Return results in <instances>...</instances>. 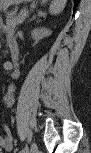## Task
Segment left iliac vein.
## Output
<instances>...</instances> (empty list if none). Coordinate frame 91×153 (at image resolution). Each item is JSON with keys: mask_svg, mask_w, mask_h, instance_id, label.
Instances as JSON below:
<instances>
[{"mask_svg": "<svg viewBox=\"0 0 91 153\" xmlns=\"http://www.w3.org/2000/svg\"><path fill=\"white\" fill-rule=\"evenodd\" d=\"M29 153H37V144L35 142L31 143V147H30Z\"/></svg>", "mask_w": 91, "mask_h": 153, "instance_id": "4c4485c4", "label": "left iliac vein"}]
</instances>
